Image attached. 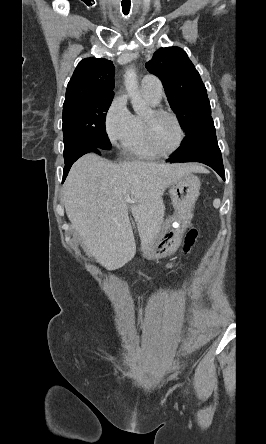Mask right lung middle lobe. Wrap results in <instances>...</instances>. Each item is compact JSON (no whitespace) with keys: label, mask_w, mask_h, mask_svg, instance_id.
<instances>
[{"label":"right lung middle lobe","mask_w":266,"mask_h":444,"mask_svg":"<svg viewBox=\"0 0 266 444\" xmlns=\"http://www.w3.org/2000/svg\"><path fill=\"white\" fill-rule=\"evenodd\" d=\"M112 99L113 94H107L64 103L62 128L65 161L88 146L101 150L111 148L106 134L105 119Z\"/></svg>","instance_id":"right-lung-middle-lobe-1"}]
</instances>
